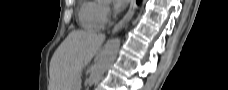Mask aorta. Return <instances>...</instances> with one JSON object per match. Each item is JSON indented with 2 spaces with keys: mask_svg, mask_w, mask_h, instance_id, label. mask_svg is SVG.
<instances>
[{
  "mask_svg": "<svg viewBox=\"0 0 228 90\" xmlns=\"http://www.w3.org/2000/svg\"><path fill=\"white\" fill-rule=\"evenodd\" d=\"M120 48V39L108 41L96 60L89 76V82H96L113 64Z\"/></svg>",
  "mask_w": 228,
  "mask_h": 90,
  "instance_id": "1",
  "label": "aorta"
}]
</instances>
